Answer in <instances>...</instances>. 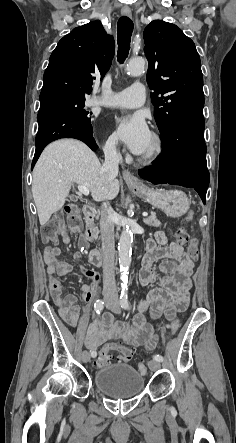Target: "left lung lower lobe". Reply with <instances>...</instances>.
Wrapping results in <instances>:
<instances>
[{
  "label": "left lung lower lobe",
  "instance_id": "0a47b994",
  "mask_svg": "<svg viewBox=\"0 0 236 443\" xmlns=\"http://www.w3.org/2000/svg\"><path fill=\"white\" fill-rule=\"evenodd\" d=\"M204 127L203 113L187 112L175 118L161 134L163 152L155 165L139 170V175L154 184L194 188L205 204L210 175Z\"/></svg>",
  "mask_w": 236,
  "mask_h": 443
}]
</instances>
